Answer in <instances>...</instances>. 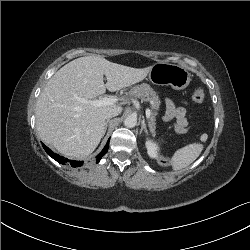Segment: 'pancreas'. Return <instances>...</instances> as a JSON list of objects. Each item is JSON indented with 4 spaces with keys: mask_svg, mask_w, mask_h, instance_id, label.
<instances>
[{
    "mask_svg": "<svg viewBox=\"0 0 250 250\" xmlns=\"http://www.w3.org/2000/svg\"><path fill=\"white\" fill-rule=\"evenodd\" d=\"M129 95L131 97L140 98L143 101H149L151 103V108L153 110L152 116L150 118L149 127L152 134H155V118L157 110L160 107V99L157 93L150 87V85L146 83H142L140 85H136L129 90Z\"/></svg>",
    "mask_w": 250,
    "mask_h": 250,
    "instance_id": "cf45deb5",
    "label": "pancreas"
}]
</instances>
